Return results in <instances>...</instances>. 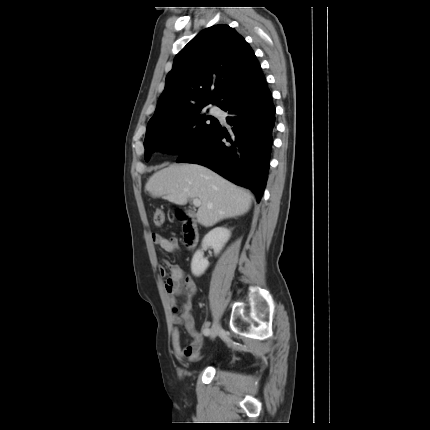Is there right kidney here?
I'll return each instance as SVG.
<instances>
[{
	"mask_svg": "<svg viewBox=\"0 0 430 430\" xmlns=\"http://www.w3.org/2000/svg\"><path fill=\"white\" fill-rule=\"evenodd\" d=\"M230 235L231 232L227 228L216 227L205 235L202 243L204 246H211L214 249L215 255H217L230 238ZM203 255V251H196L191 262V271L197 277L202 275L209 266L208 260Z\"/></svg>",
	"mask_w": 430,
	"mask_h": 430,
	"instance_id": "obj_1",
	"label": "right kidney"
}]
</instances>
